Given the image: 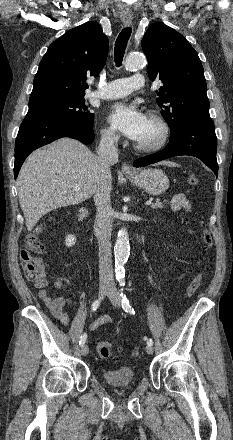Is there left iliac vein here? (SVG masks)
I'll return each mask as SVG.
<instances>
[{"mask_svg": "<svg viewBox=\"0 0 233 440\" xmlns=\"http://www.w3.org/2000/svg\"><path fill=\"white\" fill-rule=\"evenodd\" d=\"M107 295L111 301V303L115 306V307H120L121 306V297L119 295V292L117 291L116 287L114 285L110 286V289L107 292ZM145 351L148 354H152L153 353V347L151 345H147L145 347Z\"/></svg>", "mask_w": 233, "mask_h": 440, "instance_id": "obj_1", "label": "left iliac vein"}]
</instances>
